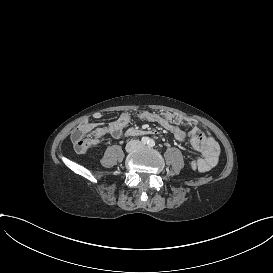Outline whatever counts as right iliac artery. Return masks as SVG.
<instances>
[{
	"instance_id": "obj_1",
	"label": "right iliac artery",
	"mask_w": 273,
	"mask_h": 273,
	"mask_svg": "<svg viewBox=\"0 0 273 273\" xmlns=\"http://www.w3.org/2000/svg\"><path fill=\"white\" fill-rule=\"evenodd\" d=\"M149 141H150V139L148 137H143L142 138V143H144V144H148Z\"/></svg>"
}]
</instances>
